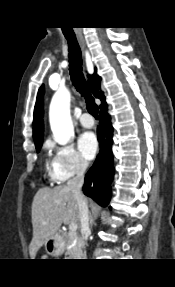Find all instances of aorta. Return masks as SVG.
Here are the masks:
<instances>
[{
	"mask_svg": "<svg viewBox=\"0 0 175 287\" xmlns=\"http://www.w3.org/2000/svg\"><path fill=\"white\" fill-rule=\"evenodd\" d=\"M70 101V91L63 88L54 94L49 108L53 137L60 145H66L74 136V127L70 116Z\"/></svg>",
	"mask_w": 175,
	"mask_h": 287,
	"instance_id": "1",
	"label": "aorta"
}]
</instances>
